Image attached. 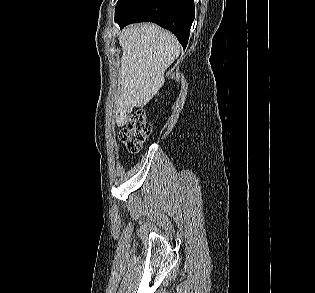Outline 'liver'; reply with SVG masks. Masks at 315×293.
I'll return each instance as SVG.
<instances>
[{
	"label": "liver",
	"instance_id": "liver-1",
	"mask_svg": "<svg viewBox=\"0 0 315 293\" xmlns=\"http://www.w3.org/2000/svg\"><path fill=\"white\" fill-rule=\"evenodd\" d=\"M121 89L116 123L124 126L133 107H143L165 82L164 73L179 56L181 46L172 33L154 24L131 25L119 35Z\"/></svg>",
	"mask_w": 315,
	"mask_h": 293
}]
</instances>
